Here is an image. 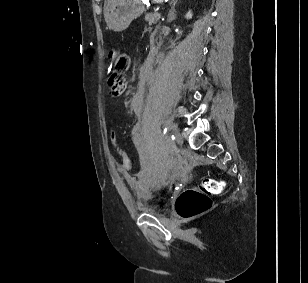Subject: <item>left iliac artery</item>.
Segmentation results:
<instances>
[{"label": "left iliac artery", "instance_id": "obj_1", "mask_svg": "<svg viewBox=\"0 0 308 283\" xmlns=\"http://www.w3.org/2000/svg\"><path fill=\"white\" fill-rule=\"evenodd\" d=\"M168 131H169V126H165L164 131H163L164 135H166V133H168ZM171 140H173V141L175 140V136L173 134L171 135Z\"/></svg>", "mask_w": 308, "mask_h": 283}]
</instances>
